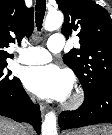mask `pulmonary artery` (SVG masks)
Here are the masks:
<instances>
[{"instance_id":"1","label":"pulmonary artery","mask_w":112,"mask_h":135,"mask_svg":"<svg viewBox=\"0 0 112 135\" xmlns=\"http://www.w3.org/2000/svg\"><path fill=\"white\" fill-rule=\"evenodd\" d=\"M64 47L61 35H52L47 42V49L42 47L19 48L18 61L23 64H43L51 60V52H60Z\"/></svg>"}]
</instances>
